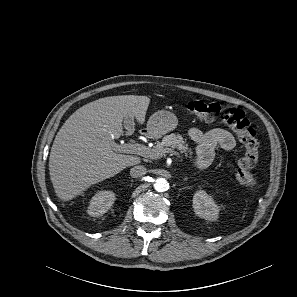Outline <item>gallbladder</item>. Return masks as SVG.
Returning <instances> with one entry per match:
<instances>
[{"mask_svg": "<svg viewBox=\"0 0 297 297\" xmlns=\"http://www.w3.org/2000/svg\"><path fill=\"white\" fill-rule=\"evenodd\" d=\"M134 118L131 116H127L126 118H124V125L130 129H132L134 127Z\"/></svg>", "mask_w": 297, "mask_h": 297, "instance_id": "bac80fb5", "label": "gallbladder"}]
</instances>
